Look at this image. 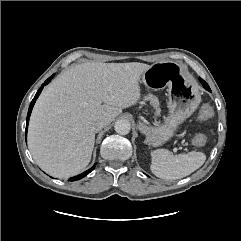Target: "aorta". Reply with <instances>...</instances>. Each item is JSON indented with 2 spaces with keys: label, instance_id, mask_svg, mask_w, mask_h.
<instances>
[{
  "label": "aorta",
  "instance_id": "762f6f07",
  "mask_svg": "<svg viewBox=\"0 0 241 241\" xmlns=\"http://www.w3.org/2000/svg\"><path fill=\"white\" fill-rule=\"evenodd\" d=\"M115 131L120 135H127L131 130V124L126 119H119L115 123Z\"/></svg>",
  "mask_w": 241,
  "mask_h": 241
}]
</instances>
